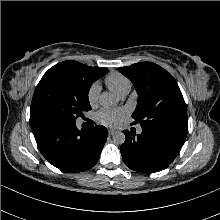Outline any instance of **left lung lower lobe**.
Masks as SVG:
<instances>
[{"mask_svg": "<svg viewBox=\"0 0 220 220\" xmlns=\"http://www.w3.org/2000/svg\"><path fill=\"white\" fill-rule=\"evenodd\" d=\"M126 140L121 145L125 164L132 170L153 173L166 169L178 156L183 144L163 134L142 130L135 135L123 131Z\"/></svg>", "mask_w": 220, "mask_h": 220, "instance_id": "0a47b994", "label": "left lung lower lobe"}]
</instances>
